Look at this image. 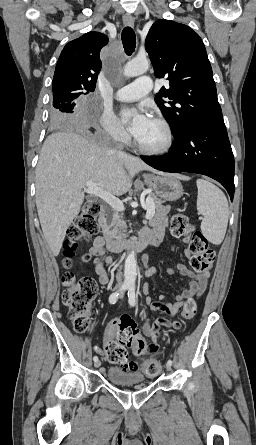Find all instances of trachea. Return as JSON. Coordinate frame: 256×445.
Instances as JSON below:
<instances>
[{
    "mask_svg": "<svg viewBox=\"0 0 256 445\" xmlns=\"http://www.w3.org/2000/svg\"><path fill=\"white\" fill-rule=\"evenodd\" d=\"M122 44L127 55H131L136 47V35L131 27H125L121 34Z\"/></svg>",
    "mask_w": 256,
    "mask_h": 445,
    "instance_id": "1",
    "label": "trachea"
}]
</instances>
